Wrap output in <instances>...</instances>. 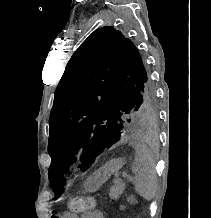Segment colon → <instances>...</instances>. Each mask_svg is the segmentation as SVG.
I'll return each mask as SVG.
<instances>
[{"instance_id": "colon-1", "label": "colon", "mask_w": 211, "mask_h": 218, "mask_svg": "<svg viewBox=\"0 0 211 218\" xmlns=\"http://www.w3.org/2000/svg\"><path fill=\"white\" fill-rule=\"evenodd\" d=\"M91 206V201L86 198H74L69 203V208L72 212H82L88 209ZM54 218H59V216H55Z\"/></svg>"}]
</instances>
